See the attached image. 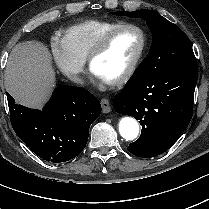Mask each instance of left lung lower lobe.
Segmentation results:
<instances>
[{"instance_id": "1", "label": "left lung lower lobe", "mask_w": 209, "mask_h": 209, "mask_svg": "<svg viewBox=\"0 0 209 209\" xmlns=\"http://www.w3.org/2000/svg\"><path fill=\"white\" fill-rule=\"evenodd\" d=\"M197 62H189L158 76L134 72L116 94L117 113L140 120V137L127 147L137 157H155L182 135L193 114Z\"/></svg>"}]
</instances>
